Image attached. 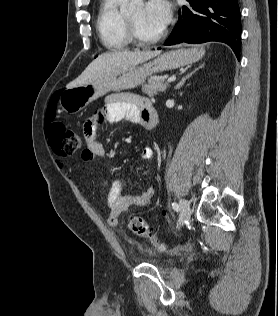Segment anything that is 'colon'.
<instances>
[{"instance_id": "5ec220e1", "label": "colon", "mask_w": 278, "mask_h": 316, "mask_svg": "<svg viewBox=\"0 0 278 316\" xmlns=\"http://www.w3.org/2000/svg\"><path fill=\"white\" fill-rule=\"evenodd\" d=\"M47 137L52 151L57 156H69L75 153L82 144V138L77 131L59 122L48 126ZM128 226L134 234L149 240L158 250H164V245L158 241L142 217L131 216Z\"/></svg>"}]
</instances>
